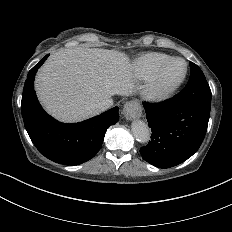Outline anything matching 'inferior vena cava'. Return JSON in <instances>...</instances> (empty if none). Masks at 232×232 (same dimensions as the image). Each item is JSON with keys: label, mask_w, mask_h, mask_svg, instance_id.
<instances>
[{"label": "inferior vena cava", "mask_w": 232, "mask_h": 232, "mask_svg": "<svg viewBox=\"0 0 232 232\" xmlns=\"http://www.w3.org/2000/svg\"><path fill=\"white\" fill-rule=\"evenodd\" d=\"M113 105V99L112 98H106L100 101L98 104H96L95 108L100 111H105L108 108H110Z\"/></svg>", "instance_id": "obj_1"}]
</instances>
